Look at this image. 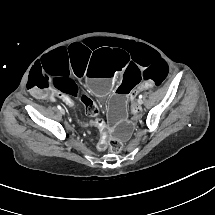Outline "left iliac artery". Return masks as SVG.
<instances>
[{"label": "left iliac artery", "instance_id": "left-iliac-artery-1", "mask_svg": "<svg viewBox=\"0 0 215 215\" xmlns=\"http://www.w3.org/2000/svg\"><path fill=\"white\" fill-rule=\"evenodd\" d=\"M143 96L142 95H139V99H138V102H140L141 104H142V102H143Z\"/></svg>", "mask_w": 215, "mask_h": 215}]
</instances>
